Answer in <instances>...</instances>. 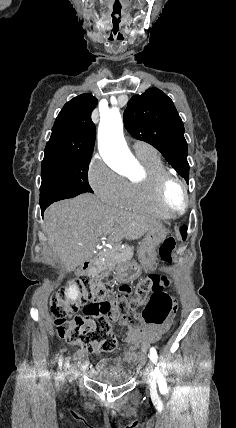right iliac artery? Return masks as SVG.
I'll use <instances>...</instances> for the list:
<instances>
[{
  "mask_svg": "<svg viewBox=\"0 0 236 428\" xmlns=\"http://www.w3.org/2000/svg\"><path fill=\"white\" fill-rule=\"evenodd\" d=\"M59 366H62V362L59 363Z\"/></svg>",
  "mask_w": 236,
  "mask_h": 428,
  "instance_id": "obj_1",
  "label": "right iliac artery"
}]
</instances>
